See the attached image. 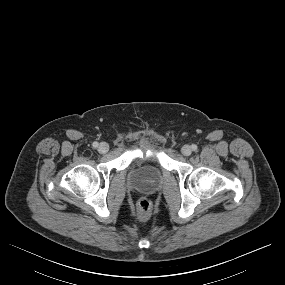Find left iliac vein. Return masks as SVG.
I'll list each match as a JSON object with an SVG mask.
<instances>
[{"label":"left iliac vein","instance_id":"obj_1","mask_svg":"<svg viewBox=\"0 0 285 285\" xmlns=\"http://www.w3.org/2000/svg\"><path fill=\"white\" fill-rule=\"evenodd\" d=\"M181 152H182L183 155L189 156L192 153V149H191V147L189 145H184L181 148Z\"/></svg>","mask_w":285,"mask_h":285}]
</instances>
